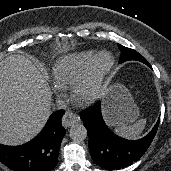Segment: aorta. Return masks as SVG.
<instances>
[{
    "mask_svg": "<svg viewBox=\"0 0 171 171\" xmlns=\"http://www.w3.org/2000/svg\"><path fill=\"white\" fill-rule=\"evenodd\" d=\"M69 136L72 140L80 142L86 139L87 129L83 124L76 123L70 127Z\"/></svg>",
    "mask_w": 171,
    "mask_h": 171,
    "instance_id": "762f6f07",
    "label": "aorta"
}]
</instances>
